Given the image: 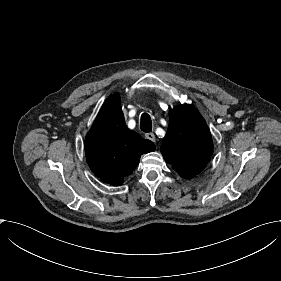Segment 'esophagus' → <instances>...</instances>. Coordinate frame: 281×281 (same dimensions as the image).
Instances as JSON below:
<instances>
[{
    "mask_svg": "<svg viewBox=\"0 0 281 281\" xmlns=\"http://www.w3.org/2000/svg\"><path fill=\"white\" fill-rule=\"evenodd\" d=\"M145 137L149 140H151L152 142H155L156 141V137L153 133H146L145 134Z\"/></svg>",
    "mask_w": 281,
    "mask_h": 281,
    "instance_id": "obj_1",
    "label": "esophagus"
}]
</instances>
